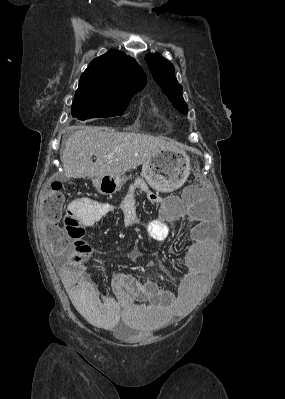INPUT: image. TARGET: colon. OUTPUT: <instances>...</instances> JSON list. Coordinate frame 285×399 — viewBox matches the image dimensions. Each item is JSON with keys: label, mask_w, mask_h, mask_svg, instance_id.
I'll list each match as a JSON object with an SVG mask.
<instances>
[{"label": "colon", "mask_w": 285, "mask_h": 399, "mask_svg": "<svg viewBox=\"0 0 285 399\" xmlns=\"http://www.w3.org/2000/svg\"><path fill=\"white\" fill-rule=\"evenodd\" d=\"M199 180L201 183L204 181L202 176L199 177ZM198 189L192 191V194H195ZM64 197L61 185L53 183L43 194L39 205V214L44 223L45 238L56 251H59L62 244L65 243L62 228L58 224L62 216Z\"/></svg>", "instance_id": "obj_1"}]
</instances>
